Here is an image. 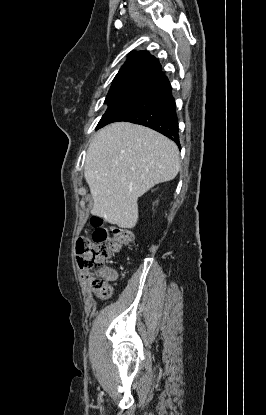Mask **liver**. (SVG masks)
I'll list each match as a JSON object with an SVG mask.
<instances>
[{
    "label": "liver",
    "mask_w": 266,
    "mask_h": 415,
    "mask_svg": "<svg viewBox=\"0 0 266 415\" xmlns=\"http://www.w3.org/2000/svg\"><path fill=\"white\" fill-rule=\"evenodd\" d=\"M179 170L173 141L141 125L112 123L97 132L87 150L84 176L94 201L91 214L133 228L138 198L173 180Z\"/></svg>",
    "instance_id": "1"
}]
</instances>
